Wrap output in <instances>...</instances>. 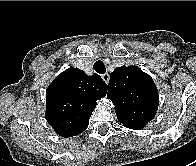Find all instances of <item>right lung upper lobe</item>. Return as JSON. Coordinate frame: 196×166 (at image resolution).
Here are the masks:
<instances>
[{"label": "right lung upper lobe", "mask_w": 196, "mask_h": 166, "mask_svg": "<svg viewBox=\"0 0 196 166\" xmlns=\"http://www.w3.org/2000/svg\"><path fill=\"white\" fill-rule=\"evenodd\" d=\"M107 84L98 74L87 76L69 68L59 74L46 92V119L55 132L65 138L87 129L97 100L107 93Z\"/></svg>", "instance_id": "right-lung-upper-lobe-1"}]
</instances>
